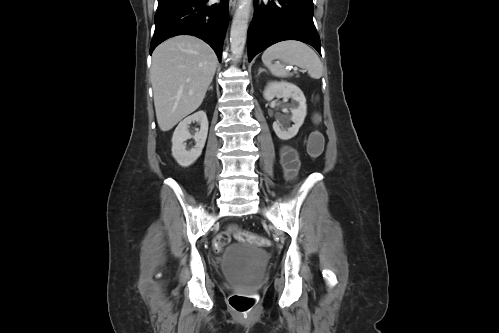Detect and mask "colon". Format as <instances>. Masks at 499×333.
Segmentation results:
<instances>
[{"label": "colon", "mask_w": 499, "mask_h": 333, "mask_svg": "<svg viewBox=\"0 0 499 333\" xmlns=\"http://www.w3.org/2000/svg\"><path fill=\"white\" fill-rule=\"evenodd\" d=\"M313 121L317 125L320 123V115L315 114ZM324 138L318 129H314L308 137L307 153L308 156L315 160L323 151ZM232 238L242 242H247L256 246L269 245V240L261 235L254 234L237 225H231L226 230L218 233L213 239V249L216 253H220ZM258 302V298L254 294L233 293L229 298V304L236 312L247 315L249 314Z\"/></svg>", "instance_id": "1"}]
</instances>
